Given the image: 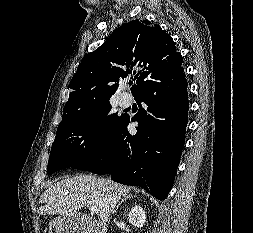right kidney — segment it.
I'll use <instances>...</instances> for the list:
<instances>
[{
  "label": "right kidney",
  "instance_id": "right-kidney-1",
  "mask_svg": "<svg viewBox=\"0 0 253 233\" xmlns=\"http://www.w3.org/2000/svg\"><path fill=\"white\" fill-rule=\"evenodd\" d=\"M128 220L133 226L142 228L146 220L145 211L141 206L135 205L128 214Z\"/></svg>",
  "mask_w": 253,
  "mask_h": 233
}]
</instances>
